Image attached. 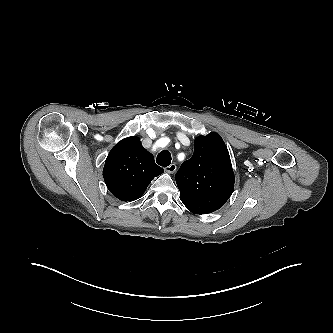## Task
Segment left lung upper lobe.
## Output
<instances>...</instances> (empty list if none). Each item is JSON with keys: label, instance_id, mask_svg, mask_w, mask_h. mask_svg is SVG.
I'll return each mask as SVG.
<instances>
[{"label": "left lung upper lobe", "instance_id": "1", "mask_svg": "<svg viewBox=\"0 0 333 333\" xmlns=\"http://www.w3.org/2000/svg\"><path fill=\"white\" fill-rule=\"evenodd\" d=\"M234 182L228 149L217 133L196 138L193 156L176 173L181 201L197 214L220 209L233 193Z\"/></svg>", "mask_w": 333, "mask_h": 333}]
</instances>
